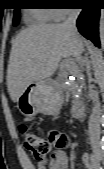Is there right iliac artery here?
<instances>
[{
  "label": "right iliac artery",
  "mask_w": 104,
  "mask_h": 169,
  "mask_svg": "<svg viewBox=\"0 0 104 169\" xmlns=\"http://www.w3.org/2000/svg\"><path fill=\"white\" fill-rule=\"evenodd\" d=\"M90 157H91V160H92V169H102V168L100 167V165H99V163H98V161H97L95 155H94V154H91Z\"/></svg>",
  "instance_id": "1"
}]
</instances>
